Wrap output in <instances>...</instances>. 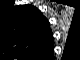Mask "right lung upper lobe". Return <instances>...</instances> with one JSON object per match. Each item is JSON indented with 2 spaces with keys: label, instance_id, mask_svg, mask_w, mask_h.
Masks as SVG:
<instances>
[{
  "label": "right lung upper lobe",
  "instance_id": "right-lung-upper-lobe-1",
  "mask_svg": "<svg viewBox=\"0 0 80 60\" xmlns=\"http://www.w3.org/2000/svg\"><path fill=\"white\" fill-rule=\"evenodd\" d=\"M11 10L15 13L11 26L17 27L14 32L12 30V39L17 46L23 48L28 45L32 51H42L46 47V35H43L45 20L40 12L31 6H19Z\"/></svg>",
  "mask_w": 80,
  "mask_h": 60
}]
</instances>
